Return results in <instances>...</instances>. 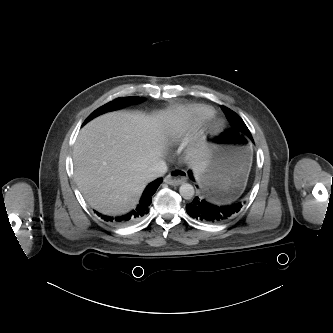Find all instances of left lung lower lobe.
I'll list each match as a JSON object with an SVG mask.
<instances>
[{"label":"left lung lower lobe","mask_w":333,"mask_h":333,"mask_svg":"<svg viewBox=\"0 0 333 333\" xmlns=\"http://www.w3.org/2000/svg\"><path fill=\"white\" fill-rule=\"evenodd\" d=\"M189 177L194 180L191 171L188 172ZM242 208V203H234L232 205H214L207 202L205 199L195 197L194 200L186 205V211L189 216L194 219L209 222L219 223L228 220L234 214L238 213Z\"/></svg>","instance_id":"left-lung-lower-lobe-1"}]
</instances>
